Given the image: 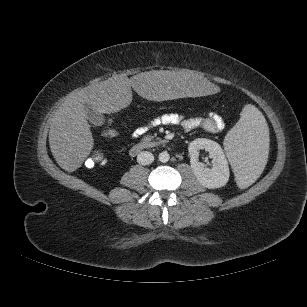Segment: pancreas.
Returning <instances> with one entry per match:
<instances>
[{
  "label": "pancreas",
  "mask_w": 307,
  "mask_h": 307,
  "mask_svg": "<svg viewBox=\"0 0 307 307\" xmlns=\"http://www.w3.org/2000/svg\"><path fill=\"white\" fill-rule=\"evenodd\" d=\"M154 136L152 135H145L142 139V141L144 142H150L151 140H153Z\"/></svg>",
  "instance_id": "cf45deb5"
}]
</instances>
